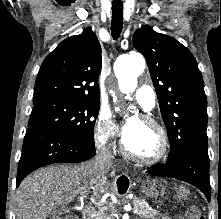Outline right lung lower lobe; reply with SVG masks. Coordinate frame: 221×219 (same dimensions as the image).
Instances as JSON below:
<instances>
[{
	"label": "right lung lower lobe",
	"instance_id": "98d812e1",
	"mask_svg": "<svg viewBox=\"0 0 221 219\" xmlns=\"http://www.w3.org/2000/svg\"><path fill=\"white\" fill-rule=\"evenodd\" d=\"M95 154V146L92 144L46 127L29 126L23 142L16 186L18 187L23 178L37 168L60 162L80 163L94 157Z\"/></svg>",
	"mask_w": 221,
	"mask_h": 219
}]
</instances>
